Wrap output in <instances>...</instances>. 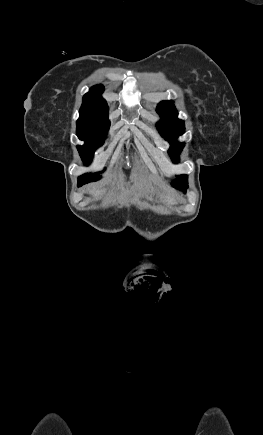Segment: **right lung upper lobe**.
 I'll use <instances>...</instances> for the list:
<instances>
[{
  "mask_svg": "<svg viewBox=\"0 0 263 435\" xmlns=\"http://www.w3.org/2000/svg\"><path fill=\"white\" fill-rule=\"evenodd\" d=\"M92 93H87L83 97L80 117L77 121L78 125H96L109 128L110 122L108 119V105L101 97L100 93L104 91L102 85L94 86Z\"/></svg>",
  "mask_w": 263,
  "mask_h": 435,
  "instance_id": "1",
  "label": "right lung upper lobe"
}]
</instances>
